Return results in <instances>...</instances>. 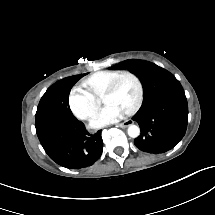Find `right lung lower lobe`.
<instances>
[{
	"label": "right lung lower lobe",
	"mask_w": 215,
	"mask_h": 215,
	"mask_svg": "<svg viewBox=\"0 0 215 215\" xmlns=\"http://www.w3.org/2000/svg\"><path fill=\"white\" fill-rule=\"evenodd\" d=\"M36 133L47 155L58 165L81 169L93 165L101 156V130L95 134L76 122H50L36 125Z\"/></svg>",
	"instance_id": "obj_1"
}]
</instances>
